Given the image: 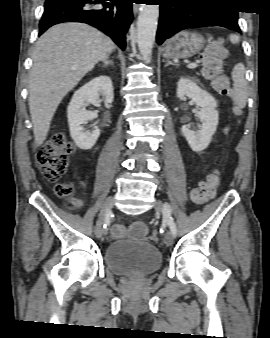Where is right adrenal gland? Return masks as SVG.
Segmentation results:
<instances>
[{
  "instance_id": "obj_1",
  "label": "right adrenal gland",
  "mask_w": 270,
  "mask_h": 338,
  "mask_svg": "<svg viewBox=\"0 0 270 338\" xmlns=\"http://www.w3.org/2000/svg\"><path fill=\"white\" fill-rule=\"evenodd\" d=\"M109 65L113 66V61H111V60H105L104 63H103V67L105 68V67H107Z\"/></svg>"
}]
</instances>
